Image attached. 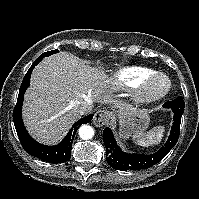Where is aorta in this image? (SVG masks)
I'll list each match as a JSON object with an SVG mask.
<instances>
[{
    "mask_svg": "<svg viewBox=\"0 0 199 199\" xmlns=\"http://www.w3.org/2000/svg\"><path fill=\"white\" fill-rule=\"evenodd\" d=\"M94 135V129L89 125H82L79 128V136L83 140L91 139Z\"/></svg>",
    "mask_w": 199,
    "mask_h": 199,
    "instance_id": "1",
    "label": "aorta"
}]
</instances>
